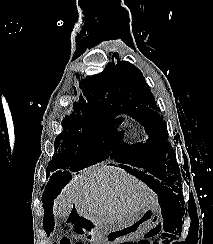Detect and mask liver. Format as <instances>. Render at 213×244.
I'll return each instance as SVG.
<instances>
[{"label": "liver", "mask_w": 213, "mask_h": 244, "mask_svg": "<svg viewBox=\"0 0 213 244\" xmlns=\"http://www.w3.org/2000/svg\"><path fill=\"white\" fill-rule=\"evenodd\" d=\"M155 203L149 188L124 169L95 165L73 176L54 199L53 215L66 218L74 205L81 217L114 229L115 224Z\"/></svg>", "instance_id": "1"}]
</instances>
